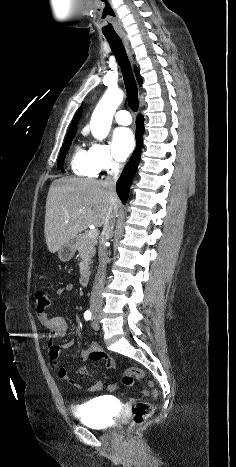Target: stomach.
Returning a JSON list of instances; mask_svg holds the SVG:
<instances>
[{
    "mask_svg": "<svg viewBox=\"0 0 236 467\" xmlns=\"http://www.w3.org/2000/svg\"><path fill=\"white\" fill-rule=\"evenodd\" d=\"M75 251V244L72 241H69L59 248L58 257L61 261L67 262L74 256Z\"/></svg>",
    "mask_w": 236,
    "mask_h": 467,
    "instance_id": "stomach-1",
    "label": "stomach"
}]
</instances>
